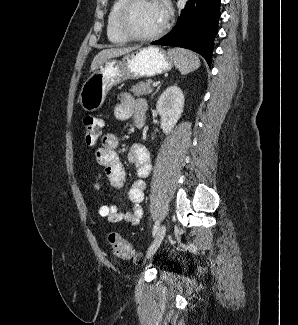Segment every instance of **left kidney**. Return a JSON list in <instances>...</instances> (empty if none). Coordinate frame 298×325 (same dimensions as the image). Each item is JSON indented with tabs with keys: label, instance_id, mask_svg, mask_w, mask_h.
Segmentation results:
<instances>
[{
	"label": "left kidney",
	"instance_id": "obj_1",
	"mask_svg": "<svg viewBox=\"0 0 298 325\" xmlns=\"http://www.w3.org/2000/svg\"><path fill=\"white\" fill-rule=\"evenodd\" d=\"M185 104V94L177 84L167 86L156 102V110L161 116V128L164 134H169L178 122Z\"/></svg>",
	"mask_w": 298,
	"mask_h": 325
}]
</instances>
